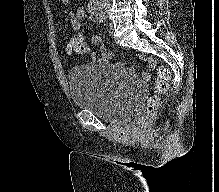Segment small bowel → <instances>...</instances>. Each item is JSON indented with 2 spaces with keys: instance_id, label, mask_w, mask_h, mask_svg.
Returning a JSON list of instances; mask_svg holds the SVG:
<instances>
[{
  "instance_id": "small-bowel-1",
  "label": "small bowel",
  "mask_w": 219,
  "mask_h": 192,
  "mask_svg": "<svg viewBox=\"0 0 219 192\" xmlns=\"http://www.w3.org/2000/svg\"><path fill=\"white\" fill-rule=\"evenodd\" d=\"M88 13H89V16L91 18L94 17V15L96 13L95 0H89V2H88ZM84 17H85V9L83 7H78L76 9L75 13L73 15H71L70 22H71V26H72L74 34H73V37H72L70 43L76 38H81L82 40H84V37L81 33L82 20L84 19ZM92 42L100 47L99 60L102 61V62H107L108 61L107 58L108 57L111 58V53L108 50H106L105 47L103 46L102 38L98 35H95V36L92 37ZM67 50H68V47H67ZM154 65H155V62L153 60H147V62H146L147 71L144 72L143 75H142V78L144 80H149L150 79L151 75L149 73V70H151L154 67Z\"/></svg>"
}]
</instances>
